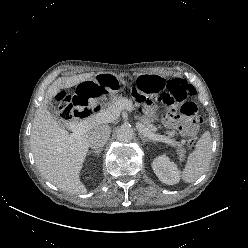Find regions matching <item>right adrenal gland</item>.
I'll return each mask as SVG.
<instances>
[{"label":"right adrenal gland","instance_id":"right-adrenal-gland-1","mask_svg":"<svg viewBox=\"0 0 248 248\" xmlns=\"http://www.w3.org/2000/svg\"><path fill=\"white\" fill-rule=\"evenodd\" d=\"M101 151H102V148H100V149H95V150H93V151H90V152L88 153V155L91 154V153H95V154L97 155V157H99V154L101 153Z\"/></svg>","mask_w":248,"mask_h":248}]
</instances>
